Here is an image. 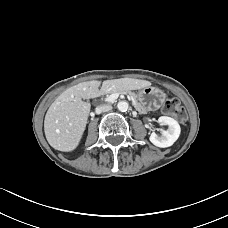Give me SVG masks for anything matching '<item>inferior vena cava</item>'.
<instances>
[{"instance_id": "602c4592", "label": "inferior vena cava", "mask_w": 228, "mask_h": 228, "mask_svg": "<svg viewBox=\"0 0 228 228\" xmlns=\"http://www.w3.org/2000/svg\"><path fill=\"white\" fill-rule=\"evenodd\" d=\"M112 109V106L111 105H108V104H106V105H101V106H98L97 108H96V110L98 111V112H108V111H110Z\"/></svg>"}]
</instances>
